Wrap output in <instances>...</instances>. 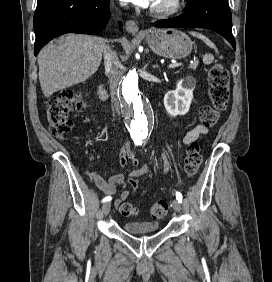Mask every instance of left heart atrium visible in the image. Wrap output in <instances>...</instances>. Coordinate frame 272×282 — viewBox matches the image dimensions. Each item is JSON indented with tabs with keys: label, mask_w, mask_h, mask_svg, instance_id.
<instances>
[{
	"label": "left heart atrium",
	"mask_w": 272,
	"mask_h": 282,
	"mask_svg": "<svg viewBox=\"0 0 272 282\" xmlns=\"http://www.w3.org/2000/svg\"><path fill=\"white\" fill-rule=\"evenodd\" d=\"M131 1L132 3L142 6V7H152L154 0H128Z\"/></svg>",
	"instance_id": "obj_1"
}]
</instances>
